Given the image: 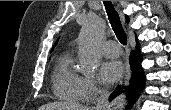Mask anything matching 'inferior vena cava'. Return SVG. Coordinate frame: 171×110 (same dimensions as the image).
Instances as JSON below:
<instances>
[{"label":"inferior vena cava","mask_w":171,"mask_h":110,"mask_svg":"<svg viewBox=\"0 0 171 110\" xmlns=\"http://www.w3.org/2000/svg\"><path fill=\"white\" fill-rule=\"evenodd\" d=\"M109 95H110V92L108 88L102 89V91L100 92V97L98 99V103L96 107L97 110H105L106 108H108Z\"/></svg>","instance_id":"inferior-vena-cava-1"}]
</instances>
